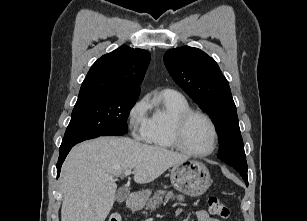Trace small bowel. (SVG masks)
<instances>
[{
    "instance_id": "c3829d8e",
    "label": "small bowel",
    "mask_w": 307,
    "mask_h": 221,
    "mask_svg": "<svg viewBox=\"0 0 307 221\" xmlns=\"http://www.w3.org/2000/svg\"><path fill=\"white\" fill-rule=\"evenodd\" d=\"M184 213H185V210L183 208H178L176 210L177 216H181ZM196 218H197V221H220L219 219L210 217L209 214L207 213V211H205V210L197 211L196 212Z\"/></svg>"
}]
</instances>
